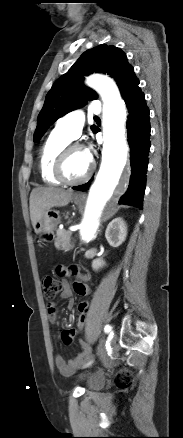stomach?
<instances>
[{
	"label": "stomach",
	"mask_w": 183,
	"mask_h": 438,
	"mask_svg": "<svg viewBox=\"0 0 183 438\" xmlns=\"http://www.w3.org/2000/svg\"><path fill=\"white\" fill-rule=\"evenodd\" d=\"M72 201L75 204H80L82 202V197L74 195ZM59 222V212L48 209L34 225V230L42 241L50 242L55 238V230Z\"/></svg>",
	"instance_id": "1"
}]
</instances>
